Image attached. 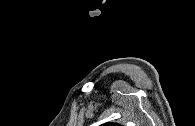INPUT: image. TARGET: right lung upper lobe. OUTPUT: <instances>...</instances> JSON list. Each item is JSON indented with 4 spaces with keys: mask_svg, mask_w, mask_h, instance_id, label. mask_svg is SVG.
Returning <instances> with one entry per match:
<instances>
[{
    "mask_svg": "<svg viewBox=\"0 0 195 126\" xmlns=\"http://www.w3.org/2000/svg\"><path fill=\"white\" fill-rule=\"evenodd\" d=\"M101 126H121V125L115 124V123H105V124H102Z\"/></svg>",
    "mask_w": 195,
    "mask_h": 126,
    "instance_id": "right-lung-upper-lobe-1",
    "label": "right lung upper lobe"
}]
</instances>
